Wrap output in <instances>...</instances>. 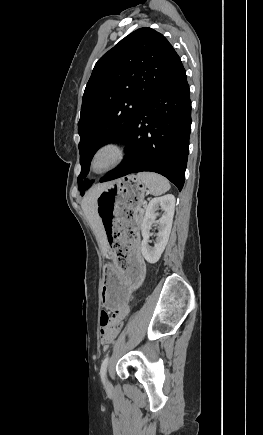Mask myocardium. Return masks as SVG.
I'll return each mask as SVG.
<instances>
[{"label": "myocardium", "instance_id": "1", "mask_svg": "<svg viewBox=\"0 0 263 435\" xmlns=\"http://www.w3.org/2000/svg\"><path fill=\"white\" fill-rule=\"evenodd\" d=\"M106 150L113 151V153L115 155L114 160L105 168H103L101 170H96L94 168L95 160L99 154H101L102 152H104ZM126 155H127V150H126V147L124 146L123 143H121L120 141L115 140V139L105 140V141L101 142L100 144H98L94 148V150L92 151L90 158H89V163H88L89 170L91 173H93L95 175L106 174V173L116 169L117 167H119L124 162Z\"/></svg>", "mask_w": 263, "mask_h": 435}]
</instances>
